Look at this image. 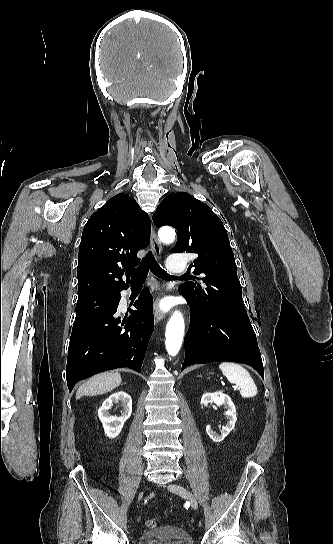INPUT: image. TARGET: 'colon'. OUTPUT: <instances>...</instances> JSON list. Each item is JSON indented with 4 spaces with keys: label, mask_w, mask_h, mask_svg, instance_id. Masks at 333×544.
<instances>
[{
    "label": "colon",
    "mask_w": 333,
    "mask_h": 544,
    "mask_svg": "<svg viewBox=\"0 0 333 544\" xmlns=\"http://www.w3.org/2000/svg\"><path fill=\"white\" fill-rule=\"evenodd\" d=\"M145 526L147 528H150V529L155 528L157 526V520L156 519H147L145 521Z\"/></svg>",
    "instance_id": "5ec220e1"
}]
</instances>
